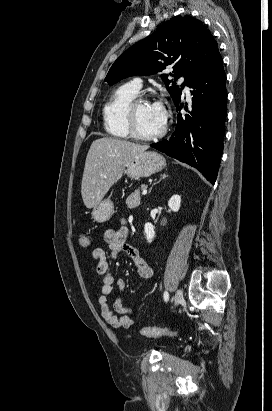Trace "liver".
Segmentation results:
<instances>
[{
    "label": "liver",
    "instance_id": "liver-1",
    "mask_svg": "<svg viewBox=\"0 0 272 411\" xmlns=\"http://www.w3.org/2000/svg\"><path fill=\"white\" fill-rule=\"evenodd\" d=\"M148 146L115 138H99L88 151L82 177L81 195L87 208L96 207L111 186L121 179L125 165Z\"/></svg>",
    "mask_w": 272,
    "mask_h": 411
}]
</instances>
